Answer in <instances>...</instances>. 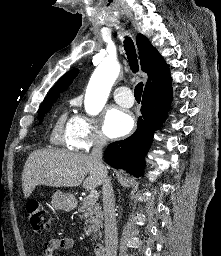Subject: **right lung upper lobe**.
<instances>
[{
  "label": "right lung upper lobe",
  "mask_w": 221,
  "mask_h": 256,
  "mask_svg": "<svg viewBox=\"0 0 221 256\" xmlns=\"http://www.w3.org/2000/svg\"><path fill=\"white\" fill-rule=\"evenodd\" d=\"M136 44L139 49L142 71L148 74L144 93L157 92L170 88L172 80L170 78L169 66L166 65L162 56L142 34L137 35ZM78 72V69H73L62 76L45 99L51 96L59 97V94L72 83L73 79L78 75Z\"/></svg>",
  "instance_id": "1"
}]
</instances>
